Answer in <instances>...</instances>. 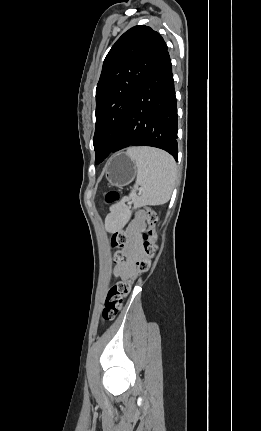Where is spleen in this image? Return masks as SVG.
Returning <instances> with one entry per match:
<instances>
[{
  "mask_svg": "<svg viewBox=\"0 0 261 431\" xmlns=\"http://www.w3.org/2000/svg\"><path fill=\"white\" fill-rule=\"evenodd\" d=\"M127 155L137 167V178L134 186L141 189L132 197L134 208L145 205H162L169 199L173 191L176 179V163L171 155L165 151L149 147H132L127 150ZM124 197L115 207L114 212L123 211Z\"/></svg>",
  "mask_w": 261,
  "mask_h": 431,
  "instance_id": "1",
  "label": "spleen"
}]
</instances>
